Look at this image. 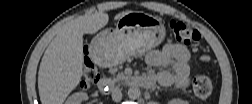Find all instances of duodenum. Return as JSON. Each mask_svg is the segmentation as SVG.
I'll return each mask as SVG.
<instances>
[{
	"label": "duodenum",
	"mask_w": 252,
	"mask_h": 104,
	"mask_svg": "<svg viewBox=\"0 0 252 104\" xmlns=\"http://www.w3.org/2000/svg\"><path fill=\"white\" fill-rule=\"evenodd\" d=\"M130 83L142 88H150L154 84V78L152 76H139L131 78ZM114 86V82L108 79H101L98 84V89L105 93L110 90V87Z\"/></svg>",
	"instance_id": "obj_1"
}]
</instances>
